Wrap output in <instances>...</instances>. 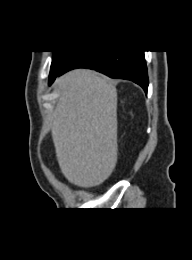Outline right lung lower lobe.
I'll list each match as a JSON object with an SVG mask.
<instances>
[{
    "mask_svg": "<svg viewBox=\"0 0 192 260\" xmlns=\"http://www.w3.org/2000/svg\"><path fill=\"white\" fill-rule=\"evenodd\" d=\"M75 68H89L111 78L131 80L140 85L147 93L148 75L144 51L79 52L57 75L49 79V85L57 76Z\"/></svg>",
    "mask_w": 192,
    "mask_h": 260,
    "instance_id": "right-lung-lower-lobe-1",
    "label": "right lung lower lobe"
}]
</instances>
